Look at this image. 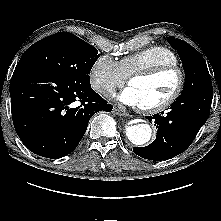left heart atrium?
<instances>
[{
	"label": "left heart atrium",
	"mask_w": 221,
	"mask_h": 221,
	"mask_svg": "<svg viewBox=\"0 0 221 221\" xmlns=\"http://www.w3.org/2000/svg\"><path fill=\"white\" fill-rule=\"evenodd\" d=\"M116 97L125 104L131 106H140L138 95L131 86L125 88L121 93L117 94Z\"/></svg>",
	"instance_id": "obj_1"
}]
</instances>
